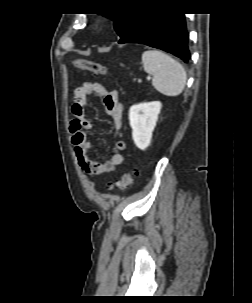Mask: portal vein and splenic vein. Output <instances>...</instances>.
<instances>
[{
	"label": "portal vein and splenic vein",
	"mask_w": 252,
	"mask_h": 303,
	"mask_svg": "<svg viewBox=\"0 0 252 303\" xmlns=\"http://www.w3.org/2000/svg\"><path fill=\"white\" fill-rule=\"evenodd\" d=\"M151 79V77H147V80H150Z\"/></svg>",
	"instance_id": "1"
}]
</instances>
